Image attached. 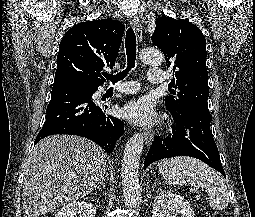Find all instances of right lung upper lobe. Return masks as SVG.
Here are the masks:
<instances>
[{"label":"right lung upper lobe","mask_w":255,"mask_h":217,"mask_svg":"<svg viewBox=\"0 0 255 217\" xmlns=\"http://www.w3.org/2000/svg\"><path fill=\"white\" fill-rule=\"evenodd\" d=\"M124 29L111 19L86 21L69 29L59 45L53 87L102 85L101 71L113 69Z\"/></svg>","instance_id":"1"}]
</instances>
